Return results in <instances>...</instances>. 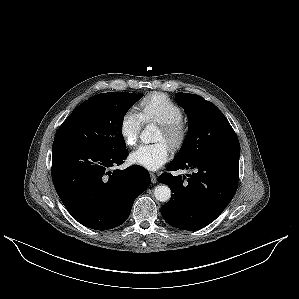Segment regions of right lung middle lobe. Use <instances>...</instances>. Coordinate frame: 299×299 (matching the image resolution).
I'll use <instances>...</instances> for the list:
<instances>
[{
	"mask_svg": "<svg viewBox=\"0 0 299 299\" xmlns=\"http://www.w3.org/2000/svg\"><path fill=\"white\" fill-rule=\"evenodd\" d=\"M143 94L109 92L79 105L63 122L54 142H67L109 154L124 150L123 118Z\"/></svg>",
	"mask_w": 299,
	"mask_h": 299,
	"instance_id": "dd1d6c3e",
	"label": "right lung middle lobe"
}]
</instances>
